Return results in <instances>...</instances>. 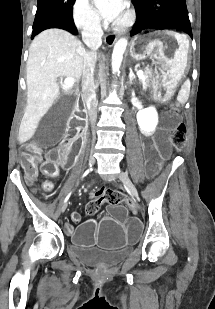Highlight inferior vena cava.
Instances as JSON below:
<instances>
[{"instance_id": "602c4592", "label": "inferior vena cava", "mask_w": 215, "mask_h": 309, "mask_svg": "<svg viewBox=\"0 0 215 309\" xmlns=\"http://www.w3.org/2000/svg\"><path fill=\"white\" fill-rule=\"evenodd\" d=\"M103 30L100 18H91L83 22L82 40L89 46L90 50L83 54L82 70V98L86 102L89 120L94 126L97 120V100L96 84L94 78L95 62L97 58V48L102 44ZM93 140H95V130H93Z\"/></svg>"}]
</instances>
